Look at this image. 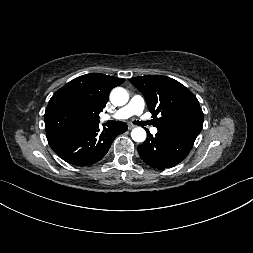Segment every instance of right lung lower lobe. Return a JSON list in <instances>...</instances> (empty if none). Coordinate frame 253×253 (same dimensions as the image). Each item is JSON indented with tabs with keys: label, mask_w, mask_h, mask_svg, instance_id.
Here are the masks:
<instances>
[{
	"label": "right lung lower lobe",
	"mask_w": 253,
	"mask_h": 253,
	"mask_svg": "<svg viewBox=\"0 0 253 253\" xmlns=\"http://www.w3.org/2000/svg\"><path fill=\"white\" fill-rule=\"evenodd\" d=\"M127 124L118 121L115 126L99 129L98 124L48 139L53 151L64 161L76 166H89L100 161L113 140L127 130Z\"/></svg>",
	"instance_id": "98d812e1"
}]
</instances>
